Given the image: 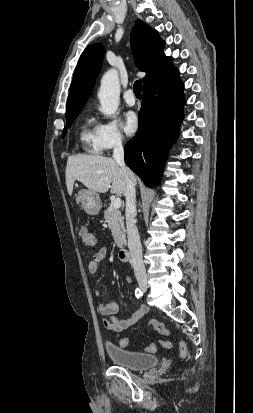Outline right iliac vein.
<instances>
[{"mask_svg": "<svg viewBox=\"0 0 253 413\" xmlns=\"http://www.w3.org/2000/svg\"><path fill=\"white\" fill-rule=\"evenodd\" d=\"M138 283H139L140 288H141L143 291H146V290H147L148 285H147L146 280L140 279Z\"/></svg>", "mask_w": 253, "mask_h": 413, "instance_id": "1", "label": "right iliac vein"}]
</instances>
